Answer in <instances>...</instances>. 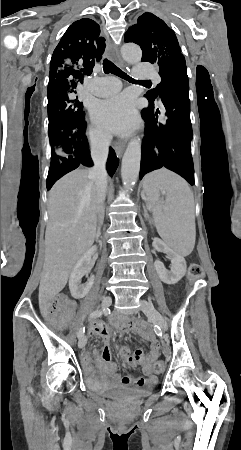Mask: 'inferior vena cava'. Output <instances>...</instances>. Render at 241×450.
Returning a JSON list of instances; mask_svg holds the SVG:
<instances>
[{"label":"inferior vena cava","mask_w":241,"mask_h":450,"mask_svg":"<svg viewBox=\"0 0 241 450\" xmlns=\"http://www.w3.org/2000/svg\"><path fill=\"white\" fill-rule=\"evenodd\" d=\"M112 136H99L95 138V144L91 150V158L94 162L93 168L89 170V184L87 190H90L93 182L97 186V238L100 236V222H103L104 218V208L103 202L106 198V188H107V172H106V162L109 154V146L111 144Z\"/></svg>","instance_id":"obj_1"}]
</instances>
